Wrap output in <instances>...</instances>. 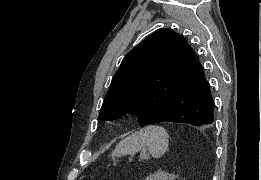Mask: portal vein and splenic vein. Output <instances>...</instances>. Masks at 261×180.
<instances>
[{"label": "portal vein and splenic vein", "mask_w": 261, "mask_h": 180, "mask_svg": "<svg viewBox=\"0 0 261 180\" xmlns=\"http://www.w3.org/2000/svg\"><path fill=\"white\" fill-rule=\"evenodd\" d=\"M145 157H146L145 153H140L139 156H138V159L145 158Z\"/></svg>", "instance_id": "portal-vein-and-splenic-vein-1"}]
</instances>
